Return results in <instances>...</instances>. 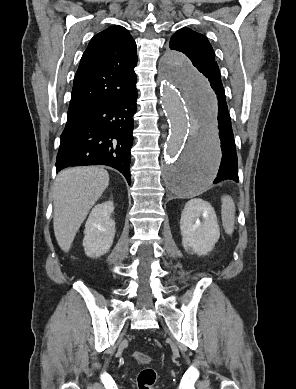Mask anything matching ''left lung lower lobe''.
Masks as SVG:
<instances>
[{
  "label": "left lung lower lobe",
  "mask_w": 296,
  "mask_h": 389,
  "mask_svg": "<svg viewBox=\"0 0 296 389\" xmlns=\"http://www.w3.org/2000/svg\"><path fill=\"white\" fill-rule=\"evenodd\" d=\"M206 78L209 80L217 100V131L221 141V163L217 177L213 183L216 184L223 180H233L238 182L239 178L236 147L231 125V118L226 103V97L221 82L220 72L218 71L215 74L208 75ZM210 135V130H206L203 136V140H208ZM197 155L198 142L196 139H194L189 152L187 153L184 161L179 166L180 173L183 174L182 177H179L181 180H184L192 175V166L196 160Z\"/></svg>",
  "instance_id": "1"
}]
</instances>
